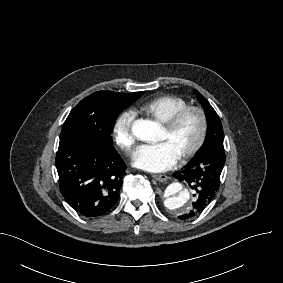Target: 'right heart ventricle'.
<instances>
[{
    "label": "right heart ventricle",
    "instance_id": "right-heart-ventricle-1",
    "mask_svg": "<svg viewBox=\"0 0 283 283\" xmlns=\"http://www.w3.org/2000/svg\"><path fill=\"white\" fill-rule=\"evenodd\" d=\"M188 105L183 97L169 94L138 103L134 107V112L164 123L171 114Z\"/></svg>",
    "mask_w": 283,
    "mask_h": 283
}]
</instances>
